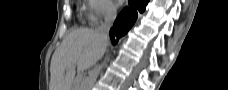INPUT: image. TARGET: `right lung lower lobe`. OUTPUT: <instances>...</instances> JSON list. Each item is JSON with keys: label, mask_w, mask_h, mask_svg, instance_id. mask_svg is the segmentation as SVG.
Masks as SVG:
<instances>
[{"label": "right lung lower lobe", "mask_w": 228, "mask_h": 90, "mask_svg": "<svg viewBox=\"0 0 228 90\" xmlns=\"http://www.w3.org/2000/svg\"><path fill=\"white\" fill-rule=\"evenodd\" d=\"M149 0H128L129 7H125L117 16L114 26L110 29V39L115 45L135 23L138 13L144 12Z\"/></svg>", "instance_id": "1"}]
</instances>
